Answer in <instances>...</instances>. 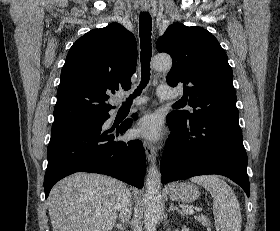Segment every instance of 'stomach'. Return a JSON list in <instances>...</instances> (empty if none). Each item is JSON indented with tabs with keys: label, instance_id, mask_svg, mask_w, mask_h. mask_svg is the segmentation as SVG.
<instances>
[{
	"label": "stomach",
	"instance_id": "0dacf381",
	"mask_svg": "<svg viewBox=\"0 0 280 231\" xmlns=\"http://www.w3.org/2000/svg\"><path fill=\"white\" fill-rule=\"evenodd\" d=\"M199 189L195 183L181 181V183H171L169 189L170 199L174 201H183V203H191L199 197Z\"/></svg>",
	"mask_w": 280,
	"mask_h": 231
}]
</instances>
